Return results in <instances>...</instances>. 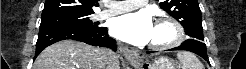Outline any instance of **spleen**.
<instances>
[{"label": "spleen", "mask_w": 246, "mask_h": 69, "mask_svg": "<svg viewBox=\"0 0 246 69\" xmlns=\"http://www.w3.org/2000/svg\"><path fill=\"white\" fill-rule=\"evenodd\" d=\"M177 58L182 65V69H205L200 60L191 52H179Z\"/></svg>", "instance_id": "obj_1"}]
</instances>
